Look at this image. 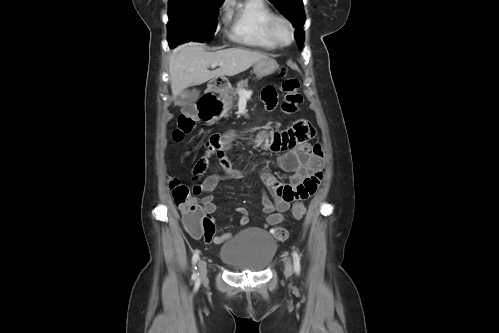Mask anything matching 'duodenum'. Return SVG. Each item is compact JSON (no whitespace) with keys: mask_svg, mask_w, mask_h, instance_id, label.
I'll use <instances>...</instances> for the list:
<instances>
[{"mask_svg":"<svg viewBox=\"0 0 499 333\" xmlns=\"http://www.w3.org/2000/svg\"><path fill=\"white\" fill-rule=\"evenodd\" d=\"M221 84L222 83L220 81H212L209 84L206 95L215 98L216 91L221 86ZM202 111L207 113L208 118H212L219 113V107H217V106L210 107V108L202 107Z\"/></svg>","mask_w":499,"mask_h":333,"instance_id":"duodenum-1","label":"duodenum"}]
</instances>
